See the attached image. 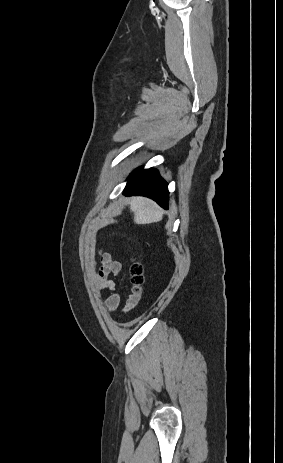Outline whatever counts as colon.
Here are the masks:
<instances>
[{
	"instance_id": "colon-1",
	"label": "colon",
	"mask_w": 283,
	"mask_h": 463,
	"mask_svg": "<svg viewBox=\"0 0 283 463\" xmlns=\"http://www.w3.org/2000/svg\"><path fill=\"white\" fill-rule=\"evenodd\" d=\"M131 283H132V294L138 295L142 291V285L144 283L143 267L140 263L134 262L130 267Z\"/></svg>"
}]
</instances>
